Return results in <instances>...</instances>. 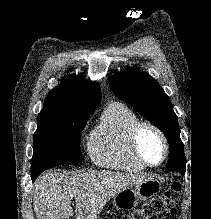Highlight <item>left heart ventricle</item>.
Returning a JSON list of instances; mask_svg holds the SVG:
<instances>
[{
	"label": "left heart ventricle",
	"instance_id": "1",
	"mask_svg": "<svg viewBox=\"0 0 211 219\" xmlns=\"http://www.w3.org/2000/svg\"><path fill=\"white\" fill-rule=\"evenodd\" d=\"M140 151L151 164L158 163L163 155V144L159 136L151 129H144L140 135Z\"/></svg>",
	"mask_w": 211,
	"mask_h": 219
}]
</instances>
